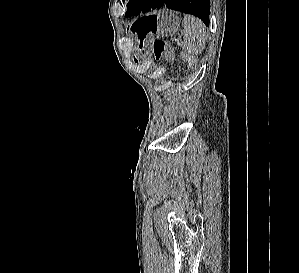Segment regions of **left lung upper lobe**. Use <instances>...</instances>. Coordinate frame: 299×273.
<instances>
[{"label":"left lung upper lobe","mask_w":299,"mask_h":273,"mask_svg":"<svg viewBox=\"0 0 299 273\" xmlns=\"http://www.w3.org/2000/svg\"><path fill=\"white\" fill-rule=\"evenodd\" d=\"M146 1L147 0H129L125 16L131 17L140 14Z\"/></svg>","instance_id":"left-lung-upper-lobe-1"}]
</instances>
